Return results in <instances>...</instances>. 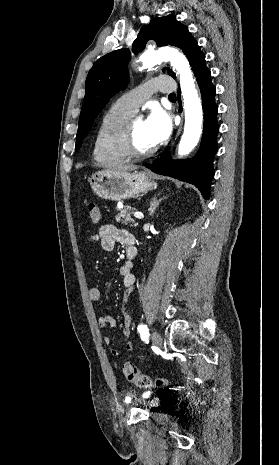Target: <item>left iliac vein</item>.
I'll return each instance as SVG.
<instances>
[{
  "mask_svg": "<svg viewBox=\"0 0 279 465\" xmlns=\"http://www.w3.org/2000/svg\"><path fill=\"white\" fill-rule=\"evenodd\" d=\"M152 341H153V344H154L156 347L160 348V347L162 346V337H161V335L159 334V332L154 331V332L152 333Z\"/></svg>",
  "mask_w": 279,
  "mask_h": 465,
  "instance_id": "obj_1",
  "label": "left iliac vein"
}]
</instances>
